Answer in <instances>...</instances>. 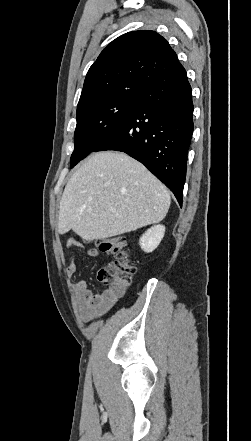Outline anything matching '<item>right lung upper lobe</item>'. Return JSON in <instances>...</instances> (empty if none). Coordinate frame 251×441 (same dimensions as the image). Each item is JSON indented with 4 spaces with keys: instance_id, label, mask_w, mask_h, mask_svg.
I'll use <instances>...</instances> for the list:
<instances>
[{
    "instance_id": "cb5924a9",
    "label": "right lung upper lobe",
    "mask_w": 251,
    "mask_h": 441,
    "mask_svg": "<svg viewBox=\"0 0 251 441\" xmlns=\"http://www.w3.org/2000/svg\"><path fill=\"white\" fill-rule=\"evenodd\" d=\"M183 66L169 43L154 31L121 35L103 49L90 67L77 111L93 102L122 95H143Z\"/></svg>"
}]
</instances>
